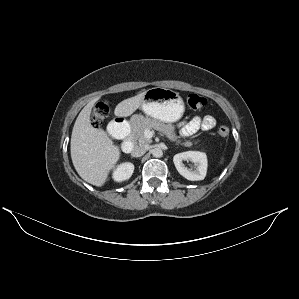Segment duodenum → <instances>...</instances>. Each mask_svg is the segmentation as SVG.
Instances as JSON below:
<instances>
[{
	"label": "duodenum",
	"mask_w": 299,
	"mask_h": 299,
	"mask_svg": "<svg viewBox=\"0 0 299 299\" xmlns=\"http://www.w3.org/2000/svg\"><path fill=\"white\" fill-rule=\"evenodd\" d=\"M110 134L122 135L128 132V126L123 118L113 121L108 128ZM121 148L123 152L130 153L134 149V142L130 138H125Z\"/></svg>",
	"instance_id": "1"
}]
</instances>
